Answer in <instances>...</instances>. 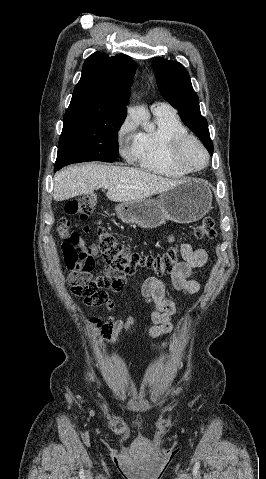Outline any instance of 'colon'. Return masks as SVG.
Masks as SVG:
<instances>
[{
  "instance_id": "obj_1",
  "label": "colon",
  "mask_w": 266,
  "mask_h": 479,
  "mask_svg": "<svg viewBox=\"0 0 266 479\" xmlns=\"http://www.w3.org/2000/svg\"><path fill=\"white\" fill-rule=\"evenodd\" d=\"M96 207L94 195L86 194L67 201L65 213L59 221L58 232L66 240L61 244L65 263L71 274L69 282L75 295L81 296L91 306L106 302L108 293L119 291L123 281L119 277L101 275L89 278L94 267V257L90 249L80 248L82 238L79 231L89 232L87 220ZM194 236L200 240H211L216 237L213 218L206 217L194 229ZM97 247L105 262L111 269L121 275H133L141 268H149L157 275L171 273L179 264L177 247H170L161 255L152 257L131 251L123 245L115 235L102 229L98 233Z\"/></svg>"
}]
</instances>
